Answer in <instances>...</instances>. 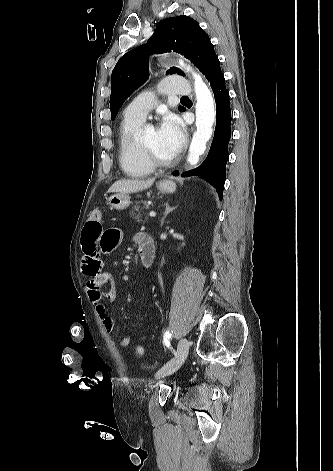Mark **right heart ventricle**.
Instances as JSON below:
<instances>
[{
	"mask_svg": "<svg viewBox=\"0 0 333 471\" xmlns=\"http://www.w3.org/2000/svg\"><path fill=\"white\" fill-rule=\"evenodd\" d=\"M143 120L124 117L118 135L119 163L123 172L133 178H142L154 171L140 147L137 131Z\"/></svg>",
	"mask_w": 333,
	"mask_h": 471,
	"instance_id": "e07e8e85",
	"label": "right heart ventricle"
}]
</instances>
